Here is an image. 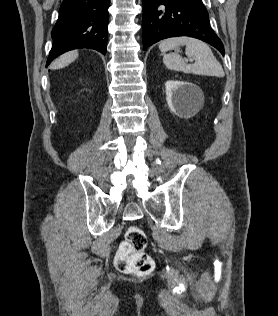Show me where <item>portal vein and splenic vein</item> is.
Listing matches in <instances>:
<instances>
[{
  "label": "portal vein and splenic vein",
  "instance_id": "1",
  "mask_svg": "<svg viewBox=\"0 0 278 316\" xmlns=\"http://www.w3.org/2000/svg\"><path fill=\"white\" fill-rule=\"evenodd\" d=\"M186 61H187V62H192V60H188V59H187Z\"/></svg>",
  "mask_w": 278,
  "mask_h": 316
}]
</instances>
